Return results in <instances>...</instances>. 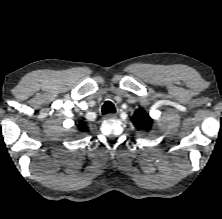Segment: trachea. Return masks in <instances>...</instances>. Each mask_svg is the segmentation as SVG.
Instances as JSON below:
<instances>
[{
    "instance_id": "1",
    "label": "trachea",
    "mask_w": 222,
    "mask_h": 219,
    "mask_svg": "<svg viewBox=\"0 0 222 219\" xmlns=\"http://www.w3.org/2000/svg\"><path fill=\"white\" fill-rule=\"evenodd\" d=\"M115 111L116 110H115L114 104L110 101L105 102L104 105L102 106L103 114L114 113Z\"/></svg>"
}]
</instances>
